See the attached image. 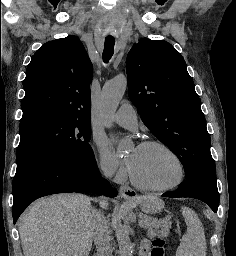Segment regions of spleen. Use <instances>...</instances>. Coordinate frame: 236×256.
Wrapping results in <instances>:
<instances>
[{
	"instance_id": "spleen-1",
	"label": "spleen",
	"mask_w": 236,
	"mask_h": 256,
	"mask_svg": "<svg viewBox=\"0 0 236 256\" xmlns=\"http://www.w3.org/2000/svg\"><path fill=\"white\" fill-rule=\"evenodd\" d=\"M182 216L187 226L176 256H206L207 244L204 228L194 210L182 208Z\"/></svg>"
}]
</instances>
